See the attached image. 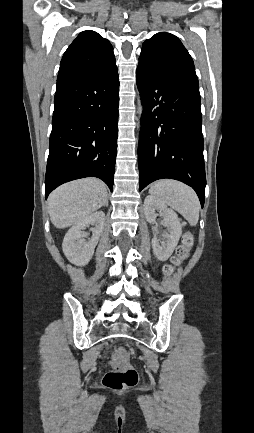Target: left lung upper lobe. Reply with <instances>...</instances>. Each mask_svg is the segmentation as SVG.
<instances>
[{"label":"left lung upper lobe","mask_w":254,"mask_h":433,"mask_svg":"<svg viewBox=\"0 0 254 433\" xmlns=\"http://www.w3.org/2000/svg\"><path fill=\"white\" fill-rule=\"evenodd\" d=\"M139 62L165 76L199 86L193 60L178 37L173 34L161 32L146 40Z\"/></svg>","instance_id":"left-lung-upper-lobe-1"}]
</instances>
